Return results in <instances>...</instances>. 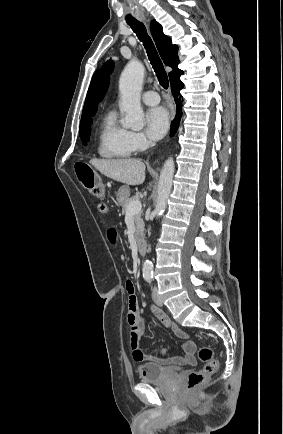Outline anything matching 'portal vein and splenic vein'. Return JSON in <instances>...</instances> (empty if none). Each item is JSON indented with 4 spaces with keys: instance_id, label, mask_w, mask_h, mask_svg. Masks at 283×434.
I'll return each instance as SVG.
<instances>
[{
    "instance_id": "obj_1",
    "label": "portal vein and splenic vein",
    "mask_w": 283,
    "mask_h": 434,
    "mask_svg": "<svg viewBox=\"0 0 283 434\" xmlns=\"http://www.w3.org/2000/svg\"><path fill=\"white\" fill-rule=\"evenodd\" d=\"M142 209V205L140 201H133L131 203H129L128 208H127V213H132V214H136L141 212Z\"/></svg>"
}]
</instances>
